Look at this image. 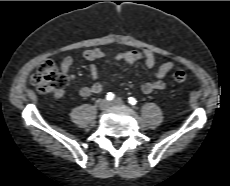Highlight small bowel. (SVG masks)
Listing matches in <instances>:
<instances>
[{
    "label": "small bowel",
    "instance_id": "obj_1",
    "mask_svg": "<svg viewBox=\"0 0 230 186\" xmlns=\"http://www.w3.org/2000/svg\"><path fill=\"white\" fill-rule=\"evenodd\" d=\"M83 58L87 61H96L100 59H111L114 61H123L126 66L132 67L136 62H143L146 67L153 68L156 64L154 53L149 49L143 50H128L122 53L109 55L98 48L87 49L83 52ZM74 60L71 56H66L61 63L62 71L68 76L71 81L75 80V75L72 73L71 68ZM174 68L173 62H165L154 70L156 80L147 81L141 86V90L145 94H150L154 91H162L165 89L163 78ZM90 74L94 82L90 86L81 87L78 91L81 97H89L94 94H100L104 90L103 84L99 80V73L96 65L90 64ZM61 97L62 93L57 94Z\"/></svg>",
    "mask_w": 230,
    "mask_h": 186
}]
</instances>
